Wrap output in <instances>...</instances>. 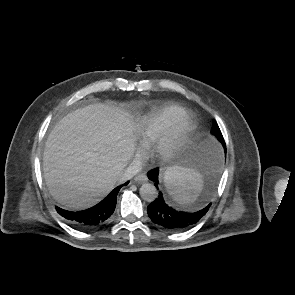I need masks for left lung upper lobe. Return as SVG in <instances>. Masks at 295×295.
I'll list each match as a JSON object with an SVG mask.
<instances>
[{
    "label": "left lung upper lobe",
    "mask_w": 295,
    "mask_h": 295,
    "mask_svg": "<svg viewBox=\"0 0 295 295\" xmlns=\"http://www.w3.org/2000/svg\"><path fill=\"white\" fill-rule=\"evenodd\" d=\"M212 134L215 135L218 140L223 144V146L225 147V142H224V138L222 136V133L219 129L218 124L216 123V121H214L213 123V128H212Z\"/></svg>",
    "instance_id": "obj_1"
}]
</instances>
